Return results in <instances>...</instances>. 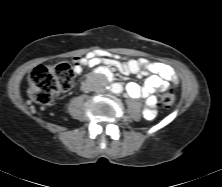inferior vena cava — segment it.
I'll return each instance as SVG.
<instances>
[{
	"instance_id": "obj_1",
	"label": "inferior vena cava",
	"mask_w": 222,
	"mask_h": 187,
	"mask_svg": "<svg viewBox=\"0 0 222 187\" xmlns=\"http://www.w3.org/2000/svg\"><path fill=\"white\" fill-rule=\"evenodd\" d=\"M96 90H97V91H102V88L97 87Z\"/></svg>"
}]
</instances>
